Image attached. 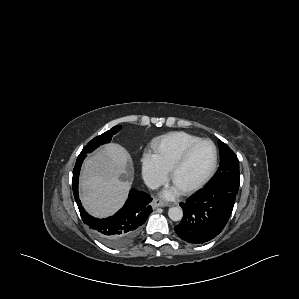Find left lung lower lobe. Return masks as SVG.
I'll use <instances>...</instances> for the list:
<instances>
[{
  "label": "left lung lower lobe",
  "mask_w": 299,
  "mask_h": 299,
  "mask_svg": "<svg viewBox=\"0 0 299 299\" xmlns=\"http://www.w3.org/2000/svg\"><path fill=\"white\" fill-rule=\"evenodd\" d=\"M238 189L229 185L206 186L180 206L181 223L174 227L178 236L194 244L207 242L225 227L235 203Z\"/></svg>",
  "instance_id": "obj_1"
}]
</instances>
